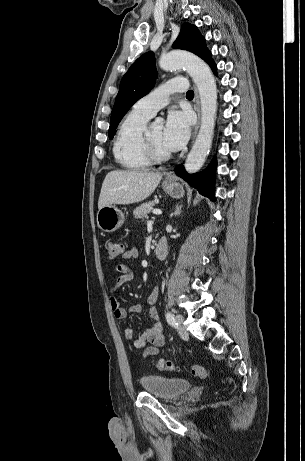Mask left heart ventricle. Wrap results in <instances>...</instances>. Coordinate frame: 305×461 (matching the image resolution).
<instances>
[{"instance_id": "1", "label": "left heart ventricle", "mask_w": 305, "mask_h": 461, "mask_svg": "<svg viewBox=\"0 0 305 461\" xmlns=\"http://www.w3.org/2000/svg\"><path fill=\"white\" fill-rule=\"evenodd\" d=\"M150 136L155 147L160 152H169L163 143V127L161 125H153L150 127Z\"/></svg>"}]
</instances>
